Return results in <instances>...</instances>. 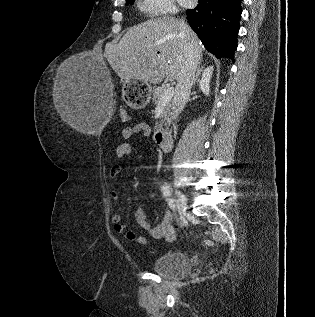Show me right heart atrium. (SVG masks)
Returning a JSON list of instances; mask_svg holds the SVG:
<instances>
[{"label":"right heart atrium","mask_w":315,"mask_h":317,"mask_svg":"<svg viewBox=\"0 0 315 317\" xmlns=\"http://www.w3.org/2000/svg\"><path fill=\"white\" fill-rule=\"evenodd\" d=\"M140 8L151 17L173 14L177 11L174 0H140Z\"/></svg>","instance_id":"obj_1"}]
</instances>
